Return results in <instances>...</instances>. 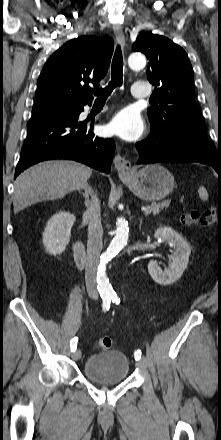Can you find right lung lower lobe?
<instances>
[{"label": "right lung lower lobe", "instance_id": "98d812e1", "mask_svg": "<svg viewBox=\"0 0 221 440\" xmlns=\"http://www.w3.org/2000/svg\"><path fill=\"white\" fill-rule=\"evenodd\" d=\"M84 106V105H83ZM83 106L32 114L28 135L16 167V178L26 168L51 159H71L109 173L114 140L100 138L78 120Z\"/></svg>", "mask_w": 221, "mask_h": 440}]
</instances>
